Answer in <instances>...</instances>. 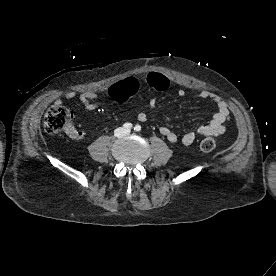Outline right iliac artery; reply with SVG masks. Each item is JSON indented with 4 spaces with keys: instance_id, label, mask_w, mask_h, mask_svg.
I'll list each match as a JSON object with an SVG mask.
<instances>
[{
    "instance_id": "obj_1",
    "label": "right iliac artery",
    "mask_w": 276,
    "mask_h": 276,
    "mask_svg": "<svg viewBox=\"0 0 276 276\" xmlns=\"http://www.w3.org/2000/svg\"><path fill=\"white\" fill-rule=\"evenodd\" d=\"M132 124L131 123H125L123 125V128L126 130V131H130L132 129Z\"/></svg>"
}]
</instances>
